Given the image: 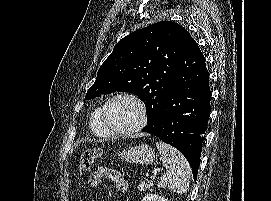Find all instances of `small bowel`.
Wrapping results in <instances>:
<instances>
[{
	"label": "small bowel",
	"mask_w": 271,
	"mask_h": 201,
	"mask_svg": "<svg viewBox=\"0 0 271 201\" xmlns=\"http://www.w3.org/2000/svg\"><path fill=\"white\" fill-rule=\"evenodd\" d=\"M110 179L114 184L118 192L126 193L128 190V182L121 173L116 170L101 167L97 169L89 178L88 184L90 187L98 186L102 180Z\"/></svg>",
	"instance_id": "small-bowel-1"
}]
</instances>
